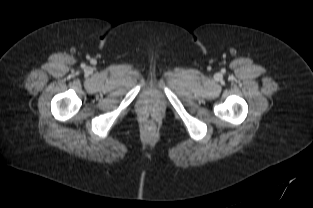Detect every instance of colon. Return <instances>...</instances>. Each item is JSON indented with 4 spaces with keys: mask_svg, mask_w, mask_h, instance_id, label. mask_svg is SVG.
Wrapping results in <instances>:
<instances>
[{
    "mask_svg": "<svg viewBox=\"0 0 313 208\" xmlns=\"http://www.w3.org/2000/svg\"><path fill=\"white\" fill-rule=\"evenodd\" d=\"M149 128L152 129V128H153V125H150Z\"/></svg>",
    "mask_w": 313,
    "mask_h": 208,
    "instance_id": "colon-1",
    "label": "colon"
}]
</instances>
